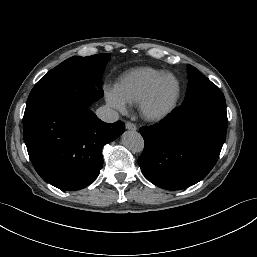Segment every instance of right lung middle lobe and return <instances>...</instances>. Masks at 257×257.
<instances>
[{
	"label": "right lung middle lobe",
	"mask_w": 257,
	"mask_h": 257,
	"mask_svg": "<svg viewBox=\"0 0 257 257\" xmlns=\"http://www.w3.org/2000/svg\"><path fill=\"white\" fill-rule=\"evenodd\" d=\"M110 54H97L89 57H71L42 77L34 87L47 86L70 79L85 80L100 85L103 70L109 61ZM103 95V90H99Z\"/></svg>",
	"instance_id": "1"
}]
</instances>
